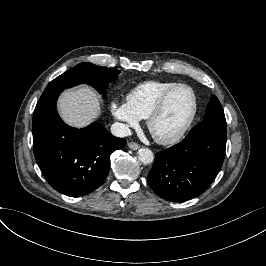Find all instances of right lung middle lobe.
<instances>
[{
    "instance_id": "right-lung-middle-lobe-1",
    "label": "right lung middle lobe",
    "mask_w": 266,
    "mask_h": 266,
    "mask_svg": "<svg viewBox=\"0 0 266 266\" xmlns=\"http://www.w3.org/2000/svg\"><path fill=\"white\" fill-rule=\"evenodd\" d=\"M119 73L120 71L115 68L96 66L91 63H80L51 81L43 94L59 89L64 90L83 83L93 86L103 94L108 83L113 81Z\"/></svg>"
}]
</instances>
